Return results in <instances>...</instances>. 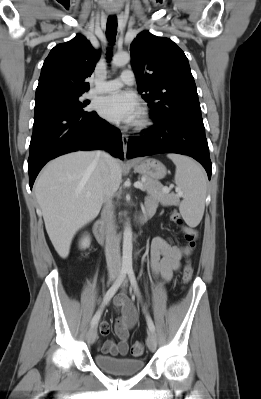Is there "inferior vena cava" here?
<instances>
[{
    "label": "inferior vena cava",
    "mask_w": 261,
    "mask_h": 399,
    "mask_svg": "<svg viewBox=\"0 0 261 399\" xmlns=\"http://www.w3.org/2000/svg\"><path fill=\"white\" fill-rule=\"evenodd\" d=\"M99 155L104 159L108 166L111 164L112 157L108 153L99 152ZM113 194L114 192L107 182L103 206V218L106 224L105 255L109 273L117 274L121 270L122 262L120 254V239L116 231L115 212L112 201Z\"/></svg>",
    "instance_id": "inferior-vena-cava-1"
}]
</instances>
